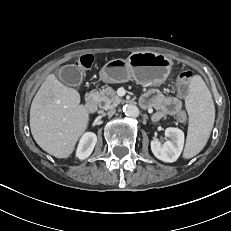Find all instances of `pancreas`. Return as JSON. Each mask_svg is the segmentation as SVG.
<instances>
[{
  "mask_svg": "<svg viewBox=\"0 0 231 231\" xmlns=\"http://www.w3.org/2000/svg\"><path fill=\"white\" fill-rule=\"evenodd\" d=\"M93 96L99 107L105 110L116 107L122 101L110 86H104L99 91H94Z\"/></svg>",
  "mask_w": 231,
  "mask_h": 231,
  "instance_id": "obj_1",
  "label": "pancreas"
}]
</instances>
